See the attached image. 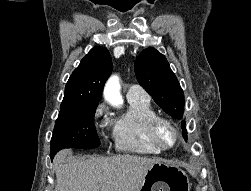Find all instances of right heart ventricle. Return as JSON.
I'll use <instances>...</instances> for the list:
<instances>
[{
	"mask_svg": "<svg viewBox=\"0 0 251 191\" xmlns=\"http://www.w3.org/2000/svg\"><path fill=\"white\" fill-rule=\"evenodd\" d=\"M128 102V112L113 127L115 149L118 152L146 157L158 155L149 143L146 133L149 119L156 114L151 100L143 96L128 99Z\"/></svg>",
	"mask_w": 251,
	"mask_h": 191,
	"instance_id": "right-heart-ventricle-1",
	"label": "right heart ventricle"
}]
</instances>
